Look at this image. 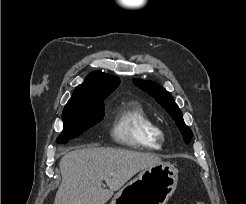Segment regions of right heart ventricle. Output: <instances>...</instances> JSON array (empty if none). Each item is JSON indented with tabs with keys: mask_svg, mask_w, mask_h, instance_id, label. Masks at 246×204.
I'll return each instance as SVG.
<instances>
[{
	"mask_svg": "<svg viewBox=\"0 0 246 204\" xmlns=\"http://www.w3.org/2000/svg\"><path fill=\"white\" fill-rule=\"evenodd\" d=\"M160 128L138 103L120 106L114 114L111 137L119 145L132 149L156 150L161 147Z\"/></svg>",
	"mask_w": 246,
	"mask_h": 204,
	"instance_id": "right-heart-ventricle-1",
	"label": "right heart ventricle"
}]
</instances>
